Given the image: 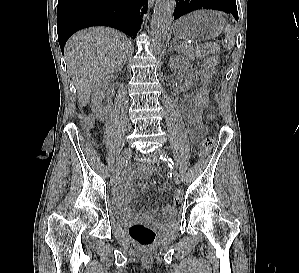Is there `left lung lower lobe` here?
Returning <instances> with one entry per match:
<instances>
[{
  "instance_id": "obj_1",
  "label": "left lung lower lobe",
  "mask_w": 299,
  "mask_h": 273,
  "mask_svg": "<svg viewBox=\"0 0 299 273\" xmlns=\"http://www.w3.org/2000/svg\"><path fill=\"white\" fill-rule=\"evenodd\" d=\"M198 9L220 10L231 13L238 20L236 0H178L174 11V20Z\"/></svg>"
}]
</instances>
